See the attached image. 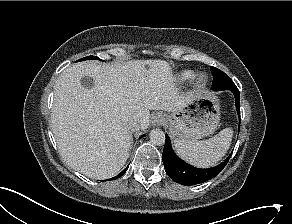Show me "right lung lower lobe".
Instances as JSON below:
<instances>
[{"label": "right lung lower lobe", "mask_w": 292, "mask_h": 224, "mask_svg": "<svg viewBox=\"0 0 292 224\" xmlns=\"http://www.w3.org/2000/svg\"><path fill=\"white\" fill-rule=\"evenodd\" d=\"M127 168H128V167H127ZM127 168L124 169V170H123L121 173H119L117 176L111 178L110 180L117 179V178L121 177V176L126 172Z\"/></svg>", "instance_id": "right-lung-lower-lobe-1"}]
</instances>
